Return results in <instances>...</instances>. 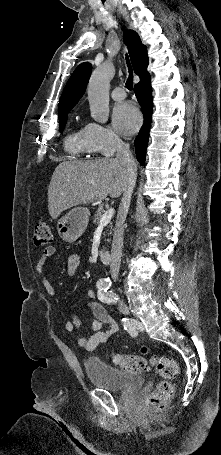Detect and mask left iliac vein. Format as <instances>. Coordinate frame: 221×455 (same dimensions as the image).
<instances>
[{
	"instance_id": "4c4485c4",
	"label": "left iliac vein",
	"mask_w": 221,
	"mask_h": 455,
	"mask_svg": "<svg viewBox=\"0 0 221 455\" xmlns=\"http://www.w3.org/2000/svg\"><path fill=\"white\" fill-rule=\"evenodd\" d=\"M118 309L121 313H123L125 315L129 314V309H128L127 305L125 303H123L122 301L118 302Z\"/></svg>"
}]
</instances>
